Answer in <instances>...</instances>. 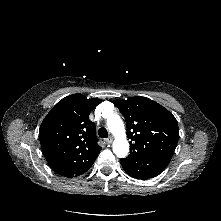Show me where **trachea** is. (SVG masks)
<instances>
[{
	"label": "trachea",
	"mask_w": 221,
	"mask_h": 221,
	"mask_svg": "<svg viewBox=\"0 0 221 221\" xmlns=\"http://www.w3.org/2000/svg\"><path fill=\"white\" fill-rule=\"evenodd\" d=\"M98 135L101 138H107L108 137V131L105 128H100L98 130Z\"/></svg>",
	"instance_id": "3493384b"
}]
</instances>
